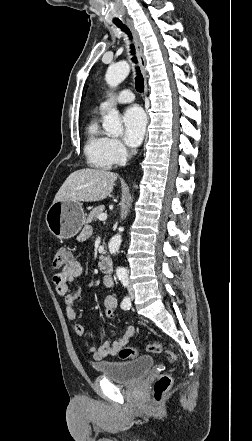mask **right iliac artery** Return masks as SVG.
Returning a JSON list of instances; mask_svg holds the SVG:
<instances>
[{
	"instance_id": "1",
	"label": "right iliac artery",
	"mask_w": 252,
	"mask_h": 441,
	"mask_svg": "<svg viewBox=\"0 0 252 441\" xmlns=\"http://www.w3.org/2000/svg\"><path fill=\"white\" fill-rule=\"evenodd\" d=\"M120 280H121L123 286H125V287L128 286V280H126V279H120ZM121 307L124 310H129L130 309V307H131V300H130V298L128 296L123 299V301L121 303Z\"/></svg>"
}]
</instances>
